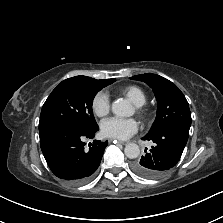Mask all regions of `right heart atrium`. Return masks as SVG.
Here are the masks:
<instances>
[{"label": "right heart atrium", "instance_id": "right-heart-atrium-1", "mask_svg": "<svg viewBox=\"0 0 223 223\" xmlns=\"http://www.w3.org/2000/svg\"><path fill=\"white\" fill-rule=\"evenodd\" d=\"M110 98L109 95L104 92H98L92 100V110L94 114L100 118L105 117L110 112Z\"/></svg>", "mask_w": 223, "mask_h": 223}]
</instances>
